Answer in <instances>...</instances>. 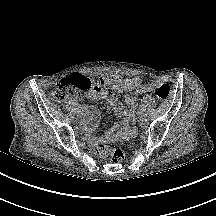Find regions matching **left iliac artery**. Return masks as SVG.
Returning a JSON list of instances; mask_svg holds the SVG:
<instances>
[{"label": "left iliac artery", "mask_w": 216, "mask_h": 216, "mask_svg": "<svg viewBox=\"0 0 216 216\" xmlns=\"http://www.w3.org/2000/svg\"><path fill=\"white\" fill-rule=\"evenodd\" d=\"M140 112H143V107H138V112L136 113V115L139 117L141 115Z\"/></svg>", "instance_id": "1"}]
</instances>
